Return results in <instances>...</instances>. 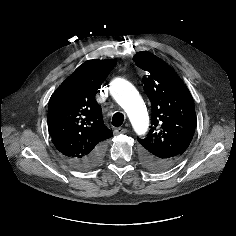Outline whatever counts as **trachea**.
Segmentation results:
<instances>
[{
    "label": "trachea",
    "instance_id": "obj_1",
    "mask_svg": "<svg viewBox=\"0 0 236 236\" xmlns=\"http://www.w3.org/2000/svg\"><path fill=\"white\" fill-rule=\"evenodd\" d=\"M124 122V115L120 112H117L113 115L112 118V125L115 127H119L123 124Z\"/></svg>",
    "mask_w": 236,
    "mask_h": 236
}]
</instances>
